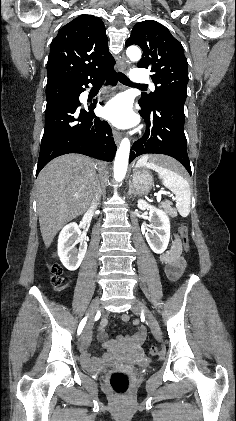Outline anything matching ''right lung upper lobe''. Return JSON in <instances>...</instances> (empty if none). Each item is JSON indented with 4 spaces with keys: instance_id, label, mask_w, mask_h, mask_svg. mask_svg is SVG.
<instances>
[{
    "instance_id": "right-lung-upper-lobe-1",
    "label": "right lung upper lobe",
    "mask_w": 236,
    "mask_h": 421,
    "mask_svg": "<svg viewBox=\"0 0 236 421\" xmlns=\"http://www.w3.org/2000/svg\"><path fill=\"white\" fill-rule=\"evenodd\" d=\"M104 23L98 17L81 15L54 38L47 62V86H70L114 70Z\"/></svg>"
}]
</instances>
